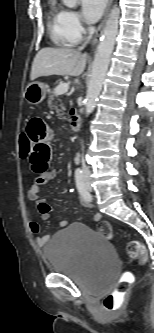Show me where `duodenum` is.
<instances>
[{
	"mask_svg": "<svg viewBox=\"0 0 154 333\" xmlns=\"http://www.w3.org/2000/svg\"><path fill=\"white\" fill-rule=\"evenodd\" d=\"M81 126V117L77 112H73L70 119V128L72 132H78Z\"/></svg>",
	"mask_w": 154,
	"mask_h": 333,
	"instance_id": "1",
	"label": "duodenum"
}]
</instances>
